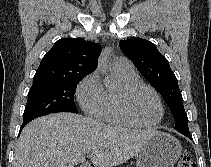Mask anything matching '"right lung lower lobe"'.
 I'll return each instance as SVG.
<instances>
[{
  "mask_svg": "<svg viewBox=\"0 0 211 167\" xmlns=\"http://www.w3.org/2000/svg\"><path fill=\"white\" fill-rule=\"evenodd\" d=\"M29 122H30V121H29ZM29 122H23L22 126L20 127V132H19V134L21 133L23 127H24L26 124H28Z\"/></svg>",
  "mask_w": 211,
  "mask_h": 167,
  "instance_id": "right-lung-lower-lobe-1",
  "label": "right lung lower lobe"
}]
</instances>
